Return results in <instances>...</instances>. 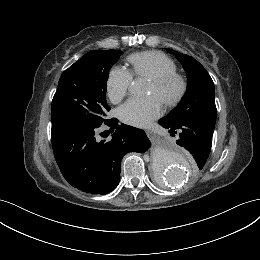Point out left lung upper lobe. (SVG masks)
Wrapping results in <instances>:
<instances>
[{
  "label": "left lung upper lobe",
  "instance_id": "left-lung-upper-lobe-1",
  "mask_svg": "<svg viewBox=\"0 0 260 260\" xmlns=\"http://www.w3.org/2000/svg\"><path fill=\"white\" fill-rule=\"evenodd\" d=\"M174 52L172 49H167ZM188 75V88L179 105L166 117L177 123L194 118L215 127L217 109L214 97V83L205 68L194 58L176 52Z\"/></svg>",
  "mask_w": 260,
  "mask_h": 260
}]
</instances>
